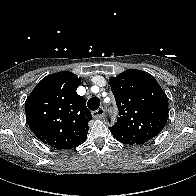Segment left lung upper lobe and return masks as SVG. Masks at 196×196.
I'll list each match as a JSON object with an SVG mask.
<instances>
[{
  "label": "left lung upper lobe",
  "instance_id": "obj_1",
  "mask_svg": "<svg viewBox=\"0 0 196 196\" xmlns=\"http://www.w3.org/2000/svg\"><path fill=\"white\" fill-rule=\"evenodd\" d=\"M120 117L109 130L119 142L143 144L159 134L168 118V99L155 78L126 70L109 79Z\"/></svg>",
  "mask_w": 196,
  "mask_h": 196
}]
</instances>
